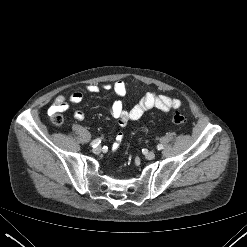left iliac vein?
Wrapping results in <instances>:
<instances>
[{
	"label": "left iliac vein",
	"instance_id": "4c4485c4",
	"mask_svg": "<svg viewBox=\"0 0 247 247\" xmlns=\"http://www.w3.org/2000/svg\"><path fill=\"white\" fill-rule=\"evenodd\" d=\"M145 157L148 159V160H152L155 158V153L154 152H147L145 154Z\"/></svg>",
	"mask_w": 247,
	"mask_h": 247
}]
</instances>
